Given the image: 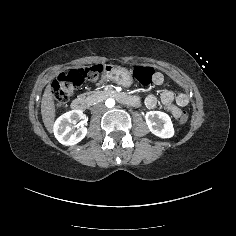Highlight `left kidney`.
<instances>
[{
	"instance_id": "left-kidney-1",
	"label": "left kidney",
	"mask_w": 236,
	"mask_h": 236,
	"mask_svg": "<svg viewBox=\"0 0 236 236\" xmlns=\"http://www.w3.org/2000/svg\"><path fill=\"white\" fill-rule=\"evenodd\" d=\"M149 131L163 139L172 138L175 134L173 123L169 115L160 111H149L145 115Z\"/></svg>"
}]
</instances>
